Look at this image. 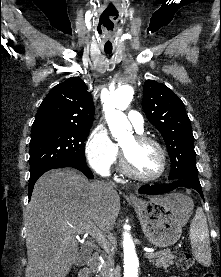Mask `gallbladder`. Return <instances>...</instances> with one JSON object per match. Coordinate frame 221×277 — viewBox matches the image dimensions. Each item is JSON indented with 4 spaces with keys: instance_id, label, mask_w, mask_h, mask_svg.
Here are the masks:
<instances>
[{
    "instance_id": "obj_1",
    "label": "gallbladder",
    "mask_w": 221,
    "mask_h": 277,
    "mask_svg": "<svg viewBox=\"0 0 221 277\" xmlns=\"http://www.w3.org/2000/svg\"><path fill=\"white\" fill-rule=\"evenodd\" d=\"M89 258H90V256L86 252L82 251L78 254L77 259L75 261V265L76 266H83L84 264L87 263Z\"/></svg>"
}]
</instances>
